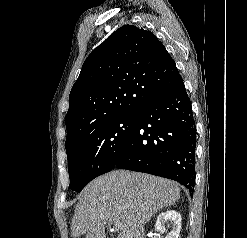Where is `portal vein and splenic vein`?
Segmentation results:
<instances>
[{
	"label": "portal vein and splenic vein",
	"mask_w": 247,
	"mask_h": 238,
	"mask_svg": "<svg viewBox=\"0 0 247 238\" xmlns=\"http://www.w3.org/2000/svg\"><path fill=\"white\" fill-rule=\"evenodd\" d=\"M121 227H122L121 223L116 222V223H114L113 229L119 230V229H121Z\"/></svg>",
	"instance_id": "1"
}]
</instances>
